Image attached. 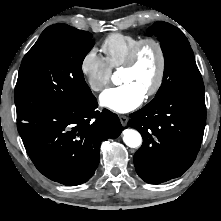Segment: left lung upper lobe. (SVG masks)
Segmentation results:
<instances>
[{"mask_svg":"<svg viewBox=\"0 0 221 221\" xmlns=\"http://www.w3.org/2000/svg\"><path fill=\"white\" fill-rule=\"evenodd\" d=\"M147 35L158 38L165 57L163 82L155 98L167 93L204 98L203 80L183 32L167 22H156Z\"/></svg>","mask_w":221,"mask_h":221,"instance_id":"left-lung-upper-lobe-1","label":"left lung upper lobe"}]
</instances>
